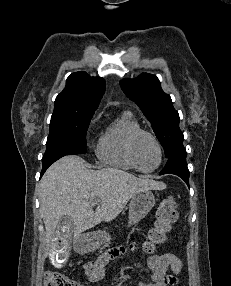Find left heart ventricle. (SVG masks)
Segmentation results:
<instances>
[{
  "label": "left heart ventricle",
  "mask_w": 231,
  "mask_h": 286,
  "mask_svg": "<svg viewBox=\"0 0 231 286\" xmlns=\"http://www.w3.org/2000/svg\"><path fill=\"white\" fill-rule=\"evenodd\" d=\"M134 152L138 165L144 170L154 168L159 161L158 149L148 136L143 135L137 139Z\"/></svg>",
  "instance_id": "left-heart-ventricle-1"
}]
</instances>
